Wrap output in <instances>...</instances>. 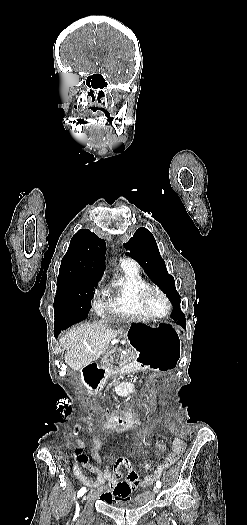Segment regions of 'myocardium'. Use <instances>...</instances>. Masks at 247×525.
<instances>
[{"label":"myocardium","instance_id":"f54148a6","mask_svg":"<svg viewBox=\"0 0 247 525\" xmlns=\"http://www.w3.org/2000/svg\"><path fill=\"white\" fill-rule=\"evenodd\" d=\"M133 263V262H132ZM134 267L135 264L133 263ZM154 290L158 292L165 300L166 302V309L163 312H155L148 308L146 304L142 303L143 308L145 309L146 313L149 317H153V319H161L169 315L172 309V303L166 292L157 284L154 282H143L135 289V294L138 298L144 299V295L147 291Z\"/></svg>","mask_w":247,"mask_h":525}]
</instances>
